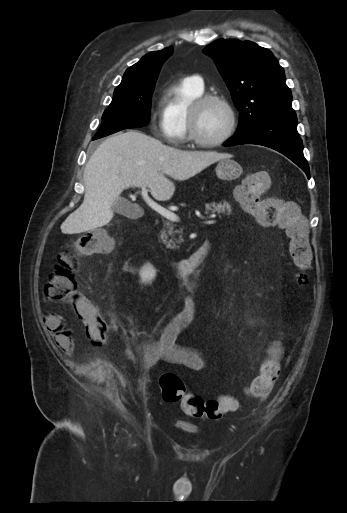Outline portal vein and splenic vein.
I'll return each instance as SVG.
<instances>
[{"label": "portal vein and splenic vein", "mask_w": 347, "mask_h": 513, "mask_svg": "<svg viewBox=\"0 0 347 513\" xmlns=\"http://www.w3.org/2000/svg\"><path fill=\"white\" fill-rule=\"evenodd\" d=\"M139 188H141V196L142 198L144 199V201L147 203V205L149 207H151L154 211H156L157 213H159L161 216L165 217L166 219L170 220L171 222H178L179 221V217L177 214H175L174 212L166 209V208H163L162 206H160L159 204H157L156 202H154L148 195V192L146 190V186L144 185H139L137 186ZM216 221L214 219H211V220H207L205 221L204 223L205 224H214Z\"/></svg>", "instance_id": "obj_1"}]
</instances>
